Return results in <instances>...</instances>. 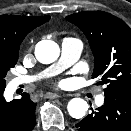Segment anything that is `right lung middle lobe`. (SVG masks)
<instances>
[{
  "label": "right lung middle lobe",
  "mask_w": 131,
  "mask_h": 131,
  "mask_svg": "<svg viewBox=\"0 0 131 131\" xmlns=\"http://www.w3.org/2000/svg\"><path fill=\"white\" fill-rule=\"evenodd\" d=\"M18 51L19 47L16 49L0 47V90L6 87L5 77L7 72L17 63Z\"/></svg>",
  "instance_id": "obj_1"
}]
</instances>
